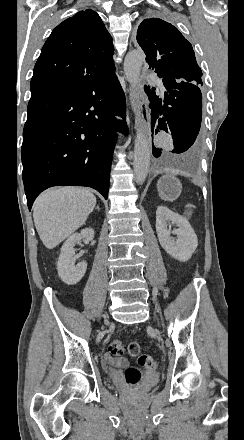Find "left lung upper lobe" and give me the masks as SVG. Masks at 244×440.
Returning <instances> with one entry per match:
<instances>
[{
	"label": "left lung upper lobe",
	"instance_id": "5c2ea615",
	"mask_svg": "<svg viewBox=\"0 0 244 440\" xmlns=\"http://www.w3.org/2000/svg\"><path fill=\"white\" fill-rule=\"evenodd\" d=\"M137 42L146 54L149 69L158 77L202 84L192 45L175 26L159 18L145 19L138 27Z\"/></svg>",
	"mask_w": 244,
	"mask_h": 440
}]
</instances>
